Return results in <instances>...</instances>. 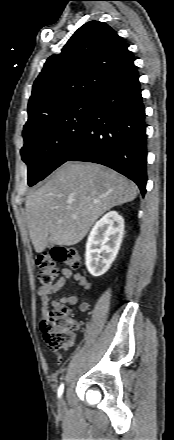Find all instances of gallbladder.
<instances>
[{
    "mask_svg": "<svg viewBox=\"0 0 174 440\" xmlns=\"http://www.w3.org/2000/svg\"><path fill=\"white\" fill-rule=\"evenodd\" d=\"M53 244L52 243H48V247H51Z\"/></svg>",
    "mask_w": 174,
    "mask_h": 440,
    "instance_id": "bac80fb5",
    "label": "gallbladder"
}]
</instances>
